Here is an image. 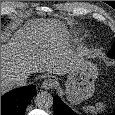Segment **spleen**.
Returning a JSON list of instances; mask_svg holds the SVG:
<instances>
[{"mask_svg":"<svg viewBox=\"0 0 115 115\" xmlns=\"http://www.w3.org/2000/svg\"><path fill=\"white\" fill-rule=\"evenodd\" d=\"M106 105L104 103H97L95 106L92 105H88L86 107H83L82 109L86 112V113H97L100 111H104L105 110Z\"/></svg>","mask_w":115,"mask_h":115,"instance_id":"3e777b00","label":"spleen"}]
</instances>
